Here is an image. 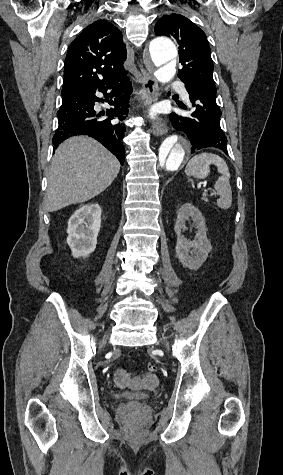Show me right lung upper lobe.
<instances>
[{
    "mask_svg": "<svg viewBox=\"0 0 283 475\" xmlns=\"http://www.w3.org/2000/svg\"><path fill=\"white\" fill-rule=\"evenodd\" d=\"M127 51L120 30L105 20L88 25L68 48L62 90L98 86L127 77Z\"/></svg>",
    "mask_w": 283,
    "mask_h": 475,
    "instance_id": "right-lung-upper-lobe-1",
    "label": "right lung upper lobe"
}]
</instances>
